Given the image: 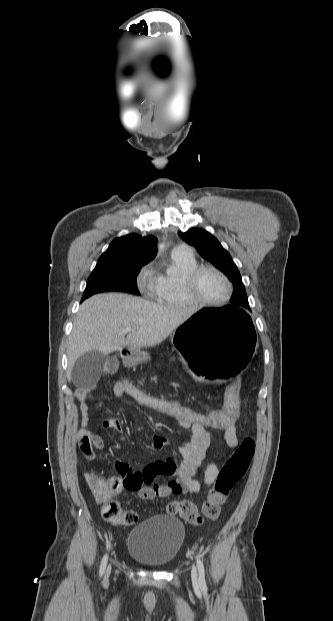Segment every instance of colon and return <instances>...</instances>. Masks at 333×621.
I'll list each match as a JSON object with an SVG mask.
<instances>
[{"instance_id": "colon-1", "label": "colon", "mask_w": 333, "mask_h": 621, "mask_svg": "<svg viewBox=\"0 0 333 621\" xmlns=\"http://www.w3.org/2000/svg\"><path fill=\"white\" fill-rule=\"evenodd\" d=\"M115 385L122 395L129 397L136 405L144 409L165 415L179 424H199L206 427L224 429L237 421L240 414V378L235 376L227 385L222 406L213 409L192 407L163 394L148 392L132 381L121 378ZM255 453V442L251 437L245 438L237 450L221 468L202 505L201 512L188 500H173L165 510L170 515H178L192 525H201L205 519L215 520L222 511L230 492L246 474ZM121 478H104L96 471H88L85 480L97 503L101 504V515L107 522L121 525H133L138 521V514L133 510L123 511L114 499L119 489L133 490L137 480L128 475L125 469H119Z\"/></svg>"}]
</instances>
